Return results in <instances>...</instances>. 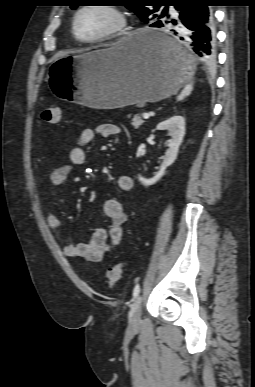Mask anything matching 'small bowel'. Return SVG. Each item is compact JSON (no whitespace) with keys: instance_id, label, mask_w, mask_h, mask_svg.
<instances>
[{"instance_id":"small-bowel-1","label":"small bowel","mask_w":255,"mask_h":387,"mask_svg":"<svg viewBox=\"0 0 255 387\" xmlns=\"http://www.w3.org/2000/svg\"><path fill=\"white\" fill-rule=\"evenodd\" d=\"M120 132V127L113 123H102L95 128L83 129L76 145L69 151L68 161L56 165L50 171L51 185L61 186L69 179L75 166L83 165L87 161L86 147L97 137L107 138L118 135ZM117 187L122 192L130 191L133 187L132 178L127 175L119 176ZM102 212L109 222L108 229L101 227L95 229L86 243L66 244L63 248L66 256L86 263L99 264L104 260L107 252L120 243L123 236V225L127 219L123 204L117 199H108L103 203ZM47 223L51 229H58L59 216L51 212L47 217Z\"/></svg>"}]
</instances>
